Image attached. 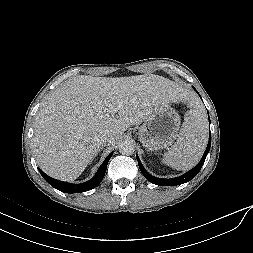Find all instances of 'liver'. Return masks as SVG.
Masks as SVG:
<instances>
[{"label": "liver", "instance_id": "1", "mask_svg": "<svg viewBox=\"0 0 253 253\" xmlns=\"http://www.w3.org/2000/svg\"><path fill=\"white\" fill-rule=\"evenodd\" d=\"M186 95L177 83L154 74L76 76L54 90L37 114V163L49 176L73 181L98 154L102 132H110L114 143L130 125L141 124L160 106ZM119 102L118 115L111 114Z\"/></svg>", "mask_w": 253, "mask_h": 253}]
</instances>
